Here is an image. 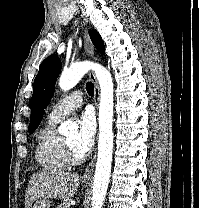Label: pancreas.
<instances>
[{"label": "pancreas", "mask_w": 199, "mask_h": 208, "mask_svg": "<svg viewBox=\"0 0 199 208\" xmlns=\"http://www.w3.org/2000/svg\"><path fill=\"white\" fill-rule=\"evenodd\" d=\"M70 207V200H64L57 208H69Z\"/></svg>", "instance_id": "pancreas-1"}]
</instances>
